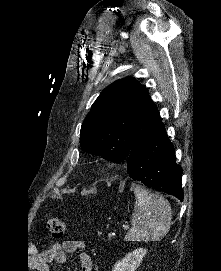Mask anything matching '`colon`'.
I'll return each instance as SVG.
<instances>
[{
    "mask_svg": "<svg viewBox=\"0 0 221 271\" xmlns=\"http://www.w3.org/2000/svg\"><path fill=\"white\" fill-rule=\"evenodd\" d=\"M46 229L56 238H61L64 233V222L58 216H48L45 221Z\"/></svg>",
    "mask_w": 221,
    "mask_h": 271,
    "instance_id": "1",
    "label": "colon"
}]
</instances>
